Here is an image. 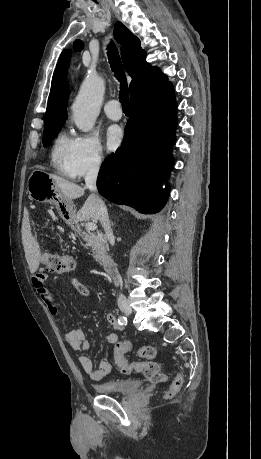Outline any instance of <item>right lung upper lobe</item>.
<instances>
[{
    "label": "right lung upper lobe",
    "instance_id": "1",
    "mask_svg": "<svg viewBox=\"0 0 261 459\" xmlns=\"http://www.w3.org/2000/svg\"><path fill=\"white\" fill-rule=\"evenodd\" d=\"M114 38L123 46L121 48L122 61L125 70L132 77L131 101L169 83L163 73L146 62V52L140 47V40L121 23L115 25ZM69 57L70 53L64 50L54 72L45 113V126L64 123L67 118L66 103L69 89L65 78Z\"/></svg>",
    "mask_w": 261,
    "mask_h": 459
}]
</instances>
